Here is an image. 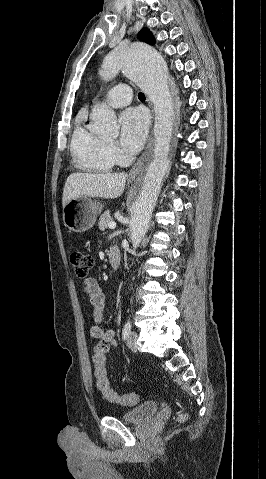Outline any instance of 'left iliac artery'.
Returning a JSON list of instances; mask_svg holds the SVG:
<instances>
[{"label": "left iliac artery", "mask_w": 266, "mask_h": 479, "mask_svg": "<svg viewBox=\"0 0 266 479\" xmlns=\"http://www.w3.org/2000/svg\"><path fill=\"white\" fill-rule=\"evenodd\" d=\"M131 327H132L131 322L128 320V321L125 323V325H124V327H123V330H122V338H123V339H126V338L128 337V335H129L130 332H131Z\"/></svg>", "instance_id": "left-iliac-artery-1"}]
</instances>
